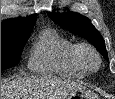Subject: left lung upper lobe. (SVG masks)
Listing matches in <instances>:
<instances>
[{
    "label": "left lung upper lobe",
    "instance_id": "obj_1",
    "mask_svg": "<svg viewBox=\"0 0 115 99\" xmlns=\"http://www.w3.org/2000/svg\"><path fill=\"white\" fill-rule=\"evenodd\" d=\"M48 15L62 28L89 40L98 49L101 55L108 60L104 39L87 17L76 12L63 14L49 12Z\"/></svg>",
    "mask_w": 115,
    "mask_h": 99
}]
</instances>
